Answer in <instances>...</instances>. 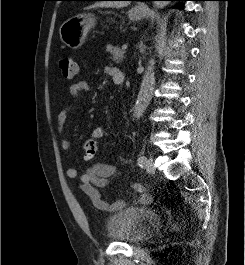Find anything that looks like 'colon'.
Segmentation results:
<instances>
[{
    "label": "colon",
    "instance_id": "5ec220e1",
    "mask_svg": "<svg viewBox=\"0 0 245 265\" xmlns=\"http://www.w3.org/2000/svg\"><path fill=\"white\" fill-rule=\"evenodd\" d=\"M59 68L66 79H72L77 74V64L70 57H63L59 61ZM84 160L90 162L97 154V144L93 141H87L83 146Z\"/></svg>",
    "mask_w": 245,
    "mask_h": 265
}]
</instances>
